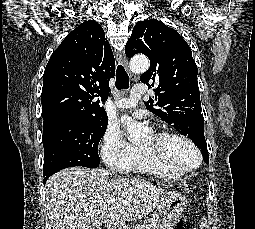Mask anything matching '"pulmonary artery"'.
<instances>
[{
	"instance_id": "1",
	"label": "pulmonary artery",
	"mask_w": 255,
	"mask_h": 229,
	"mask_svg": "<svg viewBox=\"0 0 255 229\" xmlns=\"http://www.w3.org/2000/svg\"><path fill=\"white\" fill-rule=\"evenodd\" d=\"M146 94V88L143 84H135L130 92L129 97L117 98L115 106L118 109H130L136 106L137 101Z\"/></svg>"
}]
</instances>
